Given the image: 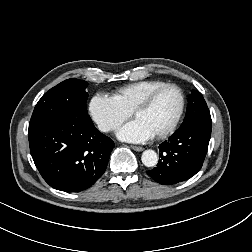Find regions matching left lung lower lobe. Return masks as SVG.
<instances>
[{"label": "left lung lower lobe", "mask_w": 252, "mask_h": 252, "mask_svg": "<svg viewBox=\"0 0 252 252\" xmlns=\"http://www.w3.org/2000/svg\"><path fill=\"white\" fill-rule=\"evenodd\" d=\"M210 136L211 123L197 122L179 128L159 145L161 159L147 174L163 185L191 178L203 165Z\"/></svg>", "instance_id": "0a47b994"}]
</instances>
